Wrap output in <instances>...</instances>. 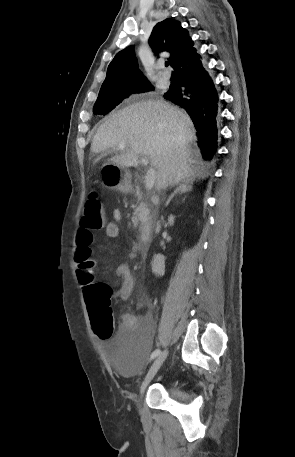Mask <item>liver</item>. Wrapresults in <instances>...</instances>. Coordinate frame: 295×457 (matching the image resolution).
<instances>
[{
	"label": "liver",
	"instance_id": "1",
	"mask_svg": "<svg viewBox=\"0 0 295 457\" xmlns=\"http://www.w3.org/2000/svg\"><path fill=\"white\" fill-rule=\"evenodd\" d=\"M189 116L160 100L141 101L109 117L97 130L92 153H102L125 143L127 150L110 161L122 167H137L147 157L156 168L158 190L183 180L207 176Z\"/></svg>",
	"mask_w": 295,
	"mask_h": 457
}]
</instances>
